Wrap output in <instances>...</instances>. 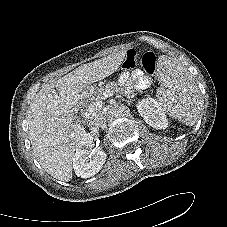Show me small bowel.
<instances>
[{
  "instance_id": "1",
  "label": "small bowel",
  "mask_w": 227,
  "mask_h": 227,
  "mask_svg": "<svg viewBox=\"0 0 227 227\" xmlns=\"http://www.w3.org/2000/svg\"><path fill=\"white\" fill-rule=\"evenodd\" d=\"M120 80L128 92L134 89H146L151 83L150 78L145 76L140 70H136L131 74H122Z\"/></svg>"
}]
</instances>
